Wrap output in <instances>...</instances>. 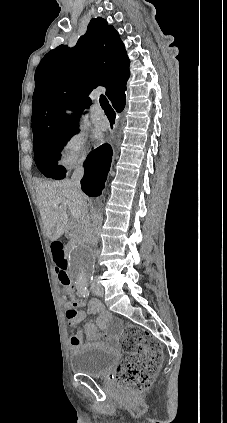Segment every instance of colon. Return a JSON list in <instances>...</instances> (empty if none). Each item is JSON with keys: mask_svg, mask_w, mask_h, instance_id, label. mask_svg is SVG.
Here are the masks:
<instances>
[{"mask_svg": "<svg viewBox=\"0 0 227 423\" xmlns=\"http://www.w3.org/2000/svg\"><path fill=\"white\" fill-rule=\"evenodd\" d=\"M51 248L58 279L66 289L71 282L66 272L67 260L63 244L54 241ZM121 349L127 357L116 371V381L128 391L134 393L146 391L153 383L162 362L159 342L143 328L129 325L122 331Z\"/></svg>", "mask_w": 227, "mask_h": 423, "instance_id": "5ec220e1", "label": "colon"}]
</instances>
